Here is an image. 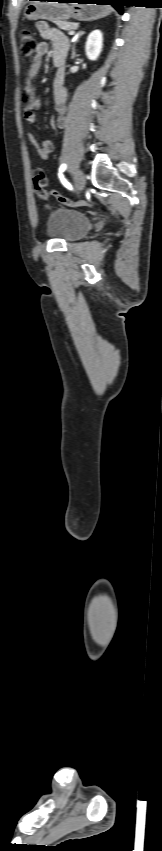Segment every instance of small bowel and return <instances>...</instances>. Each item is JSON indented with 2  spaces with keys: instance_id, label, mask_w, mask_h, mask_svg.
<instances>
[{
  "instance_id": "1",
  "label": "small bowel",
  "mask_w": 162,
  "mask_h": 851,
  "mask_svg": "<svg viewBox=\"0 0 162 851\" xmlns=\"http://www.w3.org/2000/svg\"><path fill=\"white\" fill-rule=\"evenodd\" d=\"M37 29L45 41L37 44L35 57L27 70L25 85L23 89V116L27 123L33 124L36 120V110L41 106L39 98L35 94L33 81L41 67L42 58L50 54L57 71L53 80V100L55 104V116L51 119L57 128H64L67 114L68 91L64 87V65L69 50V42L66 36L58 29L52 28L44 21L37 23ZM29 142L36 148L39 157L47 160L54 151V145L50 140L39 142L33 133L28 132Z\"/></svg>"
}]
</instances>
